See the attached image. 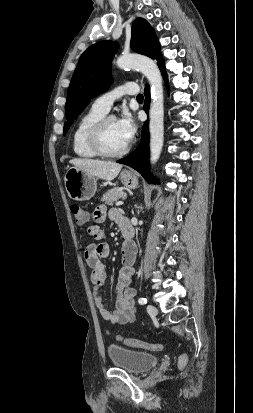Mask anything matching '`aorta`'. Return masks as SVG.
<instances>
[{
	"mask_svg": "<svg viewBox=\"0 0 253 413\" xmlns=\"http://www.w3.org/2000/svg\"><path fill=\"white\" fill-rule=\"evenodd\" d=\"M116 64L121 69L139 70L148 79L151 86L150 162L155 164L160 157L164 140V94L161 72L155 61L143 55H122L117 59Z\"/></svg>",
	"mask_w": 253,
	"mask_h": 413,
	"instance_id": "1",
	"label": "aorta"
}]
</instances>
